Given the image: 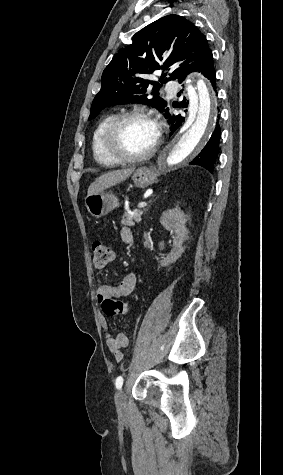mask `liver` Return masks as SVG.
I'll use <instances>...</instances> for the list:
<instances>
[{"label":"liver","mask_w":283,"mask_h":475,"mask_svg":"<svg viewBox=\"0 0 283 475\" xmlns=\"http://www.w3.org/2000/svg\"><path fill=\"white\" fill-rule=\"evenodd\" d=\"M134 170L135 168H127V170H114V172L103 174L100 178H96L93 184H90L88 196H94V194H99V192H103L106 188H111V186H116V184L124 182Z\"/></svg>","instance_id":"6515ba94"}]
</instances>
